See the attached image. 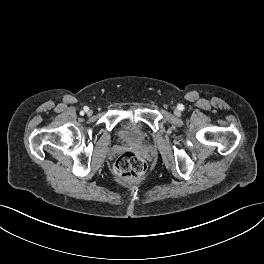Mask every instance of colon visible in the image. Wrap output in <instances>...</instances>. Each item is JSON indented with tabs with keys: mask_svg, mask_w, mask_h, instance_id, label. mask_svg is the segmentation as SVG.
Segmentation results:
<instances>
[{
	"mask_svg": "<svg viewBox=\"0 0 264 264\" xmlns=\"http://www.w3.org/2000/svg\"><path fill=\"white\" fill-rule=\"evenodd\" d=\"M146 170L144 159L134 153L125 152L121 154L114 164L115 174L126 181H136L142 177Z\"/></svg>",
	"mask_w": 264,
	"mask_h": 264,
	"instance_id": "5ec220e1",
	"label": "colon"
}]
</instances>
